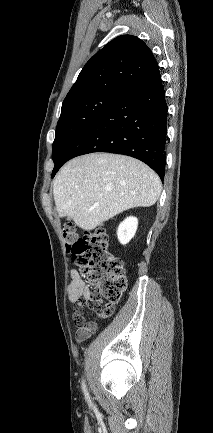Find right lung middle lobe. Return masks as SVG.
Masks as SVG:
<instances>
[{
  "label": "right lung middle lobe",
  "mask_w": 213,
  "mask_h": 433,
  "mask_svg": "<svg viewBox=\"0 0 213 433\" xmlns=\"http://www.w3.org/2000/svg\"><path fill=\"white\" fill-rule=\"evenodd\" d=\"M120 95V93L102 92L63 104L53 142V161L55 162L72 140Z\"/></svg>",
  "instance_id": "right-lung-middle-lobe-1"
}]
</instances>
